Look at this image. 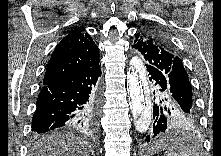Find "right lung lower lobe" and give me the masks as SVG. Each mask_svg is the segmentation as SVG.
<instances>
[{
  "mask_svg": "<svg viewBox=\"0 0 221 156\" xmlns=\"http://www.w3.org/2000/svg\"><path fill=\"white\" fill-rule=\"evenodd\" d=\"M101 68L89 69L42 87L32 118L34 134L65 128H94L101 101Z\"/></svg>",
  "mask_w": 221,
  "mask_h": 156,
  "instance_id": "obj_1",
  "label": "right lung lower lobe"
}]
</instances>
